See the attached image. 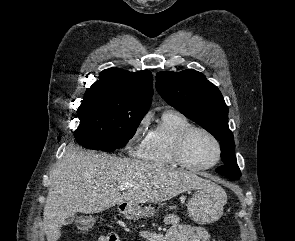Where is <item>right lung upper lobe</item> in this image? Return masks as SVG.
Here are the masks:
<instances>
[{"mask_svg": "<svg viewBox=\"0 0 295 241\" xmlns=\"http://www.w3.org/2000/svg\"><path fill=\"white\" fill-rule=\"evenodd\" d=\"M152 82L149 70L129 72L110 68L100 73L99 80L86 90L85 95L104 93L148 111L153 95Z\"/></svg>", "mask_w": 295, "mask_h": 241, "instance_id": "1", "label": "right lung upper lobe"}]
</instances>
